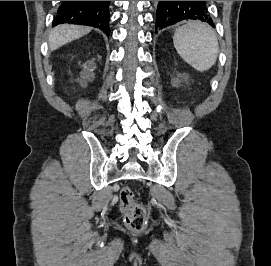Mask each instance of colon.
Instances as JSON below:
<instances>
[{
    "instance_id": "1",
    "label": "colon",
    "mask_w": 271,
    "mask_h": 266,
    "mask_svg": "<svg viewBox=\"0 0 271 266\" xmlns=\"http://www.w3.org/2000/svg\"><path fill=\"white\" fill-rule=\"evenodd\" d=\"M120 200L127 210L125 223L130 230L136 233L143 232L147 225V213L143 205L136 201L132 189L125 186L120 192Z\"/></svg>"
}]
</instances>
